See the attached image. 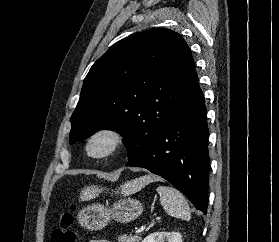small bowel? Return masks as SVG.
<instances>
[{
	"label": "small bowel",
	"instance_id": "c3829d8e",
	"mask_svg": "<svg viewBox=\"0 0 279 242\" xmlns=\"http://www.w3.org/2000/svg\"><path fill=\"white\" fill-rule=\"evenodd\" d=\"M90 242H111V241L104 240V239H96V240H91Z\"/></svg>",
	"mask_w": 279,
	"mask_h": 242
}]
</instances>
